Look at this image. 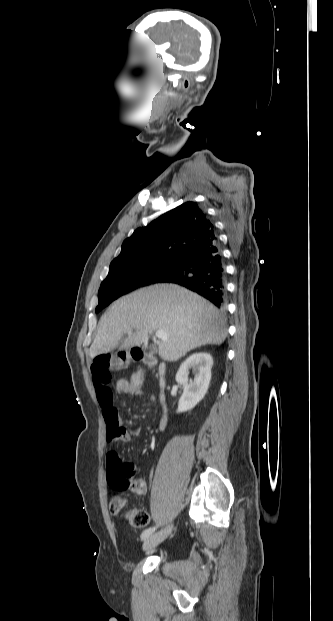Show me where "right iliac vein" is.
I'll list each match as a JSON object with an SVG mask.
<instances>
[{
    "label": "right iliac vein",
    "instance_id": "right-iliac-vein-1",
    "mask_svg": "<svg viewBox=\"0 0 333 621\" xmlns=\"http://www.w3.org/2000/svg\"><path fill=\"white\" fill-rule=\"evenodd\" d=\"M172 526H168L161 531L147 537L143 543V550H150L163 542L170 534Z\"/></svg>",
    "mask_w": 333,
    "mask_h": 621
}]
</instances>
